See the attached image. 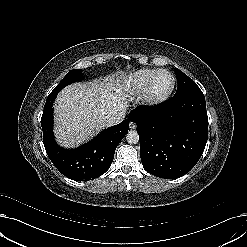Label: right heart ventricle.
<instances>
[{"instance_id":"e07e8e85","label":"right heart ventricle","mask_w":247,"mask_h":247,"mask_svg":"<svg viewBox=\"0 0 247 247\" xmlns=\"http://www.w3.org/2000/svg\"><path fill=\"white\" fill-rule=\"evenodd\" d=\"M157 71V69L144 68L128 74L122 83V89L133 96L142 94Z\"/></svg>"}]
</instances>
